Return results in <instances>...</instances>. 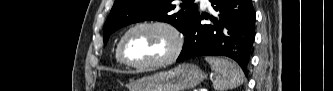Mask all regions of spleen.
<instances>
[{
    "mask_svg": "<svg viewBox=\"0 0 333 91\" xmlns=\"http://www.w3.org/2000/svg\"><path fill=\"white\" fill-rule=\"evenodd\" d=\"M211 69L217 73L213 81L215 91H228L241 85L244 81V74L235 62L219 57H205Z\"/></svg>",
    "mask_w": 333,
    "mask_h": 91,
    "instance_id": "spleen-1",
    "label": "spleen"
}]
</instances>
